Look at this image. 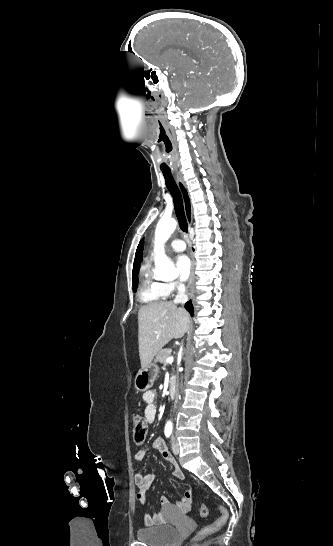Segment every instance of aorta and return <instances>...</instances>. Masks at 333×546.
Wrapping results in <instances>:
<instances>
[{
  "label": "aorta",
  "mask_w": 333,
  "mask_h": 546,
  "mask_svg": "<svg viewBox=\"0 0 333 546\" xmlns=\"http://www.w3.org/2000/svg\"><path fill=\"white\" fill-rule=\"evenodd\" d=\"M177 222L173 218H162L155 231V275L162 280H173L175 277V267L165 254L163 244L168 240L176 229ZM171 426L170 423L167 424Z\"/></svg>",
  "instance_id": "obj_1"
}]
</instances>
